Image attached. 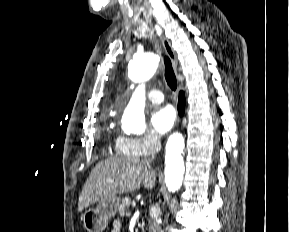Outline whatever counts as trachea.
<instances>
[{"label":"trachea","instance_id":"3493384b","mask_svg":"<svg viewBox=\"0 0 289 232\" xmlns=\"http://www.w3.org/2000/svg\"><path fill=\"white\" fill-rule=\"evenodd\" d=\"M164 64L166 82L172 90H175L177 88V80L172 68L171 60L167 56H164Z\"/></svg>","mask_w":289,"mask_h":232}]
</instances>
